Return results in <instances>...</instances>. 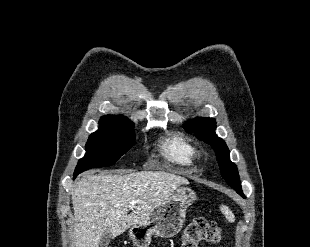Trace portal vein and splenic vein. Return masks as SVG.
Wrapping results in <instances>:
<instances>
[{"label":"portal vein and splenic vein","instance_id":"18ae733b","mask_svg":"<svg viewBox=\"0 0 310 247\" xmlns=\"http://www.w3.org/2000/svg\"><path fill=\"white\" fill-rule=\"evenodd\" d=\"M134 205H135L134 201L130 203V207H133Z\"/></svg>","mask_w":310,"mask_h":247}]
</instances>
